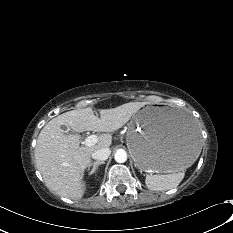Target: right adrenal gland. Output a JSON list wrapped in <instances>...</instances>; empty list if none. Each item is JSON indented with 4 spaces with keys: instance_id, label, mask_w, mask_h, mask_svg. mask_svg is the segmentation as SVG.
Masks as SVG:
<instances>
[{
    "instance_id": "1",
    "label": "right adrenal gland",
    "mask_w": 233,
    "mask_h": 233,
    "mask_svg": "<svg viewBox=\"0 0 233 233\" xmlns=\"http://www.w3.org/2000/svg\"><path fill=\"white\" fill-rule=\"evenodd\" d=\"M101 164H105V162L104 161H96V162L91 163V165H93V167H92V170L90 171V174H93L96 171V169L98 168V166Z\"/></svg>"
}]
</instances>
